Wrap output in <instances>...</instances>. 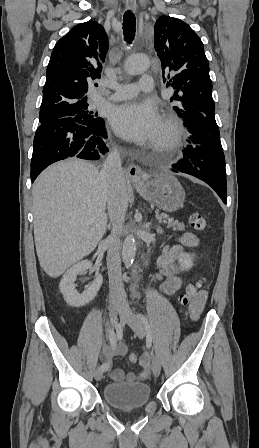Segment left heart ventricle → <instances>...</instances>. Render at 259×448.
<instances>
[{"label":"left heart ventricle","mask_w":259,"mask_h":448,"mask_svg":"<svg viewBox=\"0 0 259 448\" xmlns=\"http://www.w3.org/2000/svg\"><path fill=\"white\" fill-rule=\"evenodd\" d=\"M164 136H165V130H164V127L161 126L159 133L157 134V136L154 138V141H153L155 146L163 140Z\"/></svg>","instance_id":"1"}]
</instances>
